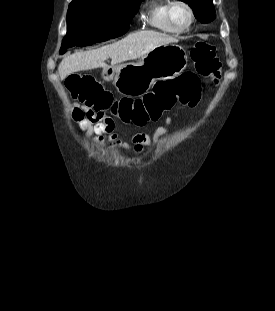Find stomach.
I'll list each match as a JSON object with an SVG mask.
<instances>
[{"mask_svg":"<svg viewBox=\"0 0 275 311\" xmlns=\"http://www.w3.org/2000/svg\"><path fill=\"white\" fill-rule=\"evenodd\" d=\"M186 51L177 44L156 47L138 62L114 65L102 71V78L113 81L119 93L128 97L145 94L156 79H173L187 66Z\"/></svg>","mask_w":275,"mask_h":311,"instance_id":"1","label":"stomach"}]
</instances>
